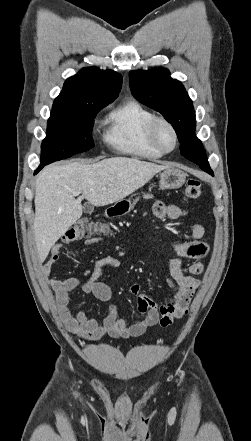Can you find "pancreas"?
Masks as SVG:
<instances>
[{
	"instance_id": "1",
	"label": "pancreas",
	"mask_w": 251,
	"mask_h": 441,
	"mask_svg": "<svg viewBox=\"0 0 251 441\" xmlns=\"http://www.w3.org/2000/svg\"><path fill=\"white\" fill-rule=\"evenodd\" d=\"M143 197H144L145 199H150V198H153V195H151V194H144ZM138 199H139V198H136V199L134 200L133 204H135V203L138 201Z\"/></svg>"
}]
</instances>
